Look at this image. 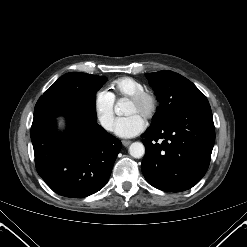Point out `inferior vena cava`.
<instances>
[{
  "mask_svg": "<svg viewBox=\"0 0 247 247\" xmlns=\"http://www.w3.org/2000/svg\"><path fill=\"white\" fill-rule=\"evenodd\" d=\"M102 126L107 130L113 129V122L111 120L102 121Z\"/></svg>",
  "mask_w": 247,
  "mask_h": 247,
  "instance_id": "602c4592",
  "label": "inferior vena cava"
}]
</instances>
